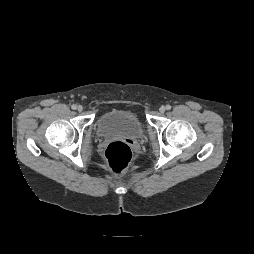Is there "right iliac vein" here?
Masks as SVG:
<instances>
[{
  "label": "right iliac vein",
  "instance_id": "obj_1",
  "mask_svg": "<svg viewBox=\"0 0 254 254\" xmlns=\"http://www.w3.org/2000/svg\"><path fill=\"white\" fill-rule=\"evenodd\" d=\"M77 110L81 112L83 110V107L81 105L77 106Z\"/></svg>",
  "mask_w": 254,
  "mask_h": 254
}]
</instances>
